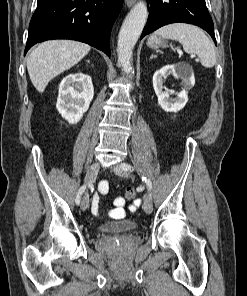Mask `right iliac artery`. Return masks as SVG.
Listing matches in <instances>:
<instances>
[{"instance_id":"1","label":"right iliac artery","mask_w":247,"mask_h":296,"mask_svg":"<svg viewBox=\"0 0 247 296\" xmlns=\"http://www.w3.org/2000/svg\"><path fill=\"white\" fill-rule=\"evenodd\" d=\"M85 189H86V185L85 184L80 187V189L78 191V194L76 196V199H75V202H76L77 205L80 204L81 195L84 193Z\"/></svg>"}]
</instances>
